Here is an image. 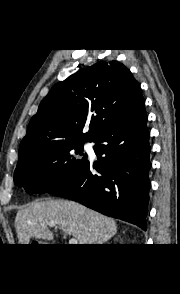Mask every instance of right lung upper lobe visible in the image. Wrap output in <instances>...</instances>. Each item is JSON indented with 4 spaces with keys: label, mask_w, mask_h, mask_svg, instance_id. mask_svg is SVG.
I'll list each match as a JSON object with an SVG mask.
<instances>
[{
    "label": "right lung upper lobe",
    "mask_w": 180,
    "mask_h": 294,
    "mask_svg": "<svg viewBox=\"0 0 180 294\" xmlns=\"http://www.w3.org/2000/svg\"><path fill=\"white\" fill-rule=\"evenodd\" d=\"M143 100L139 83L117 61L80 70L57 83L42 100L19 146L18 162L42 148L93 141ZM87 125L89 131L83 134Z\"/></svg>",
    "instance_id": "1"
}]
</instances>
